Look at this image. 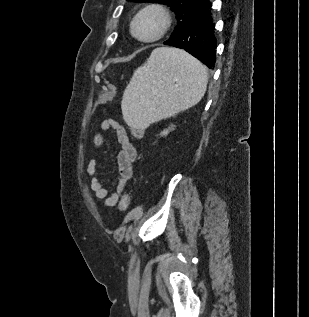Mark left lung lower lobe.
Listing matches in <instances>:
<instances>
[{
    "label": "left lung lower lobe",
    "mask_w": 309,
    "mask_h": 317,
    "mask_svg": "<svg viewBox=\"0 0 309 317\" xmlns=\"http://www.w3.org/2000/svg\"><path fill=\"white\" fill-rule=\"evenodd\" d=\"M211 7L212 4L208 1L198 8L189 18L185 28L164 42L165 45L184 49L209 68L215 65L217 47Z\"/></svg>",
    "instance_id": "obj_1"
}]
</instances>
